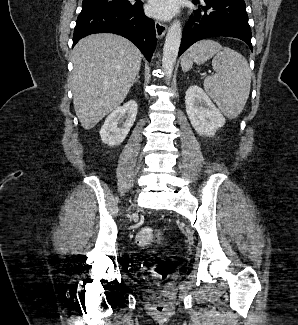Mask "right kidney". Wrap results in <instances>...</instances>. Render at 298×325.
I'll return each instance as SVG.
<instances>
[{
	"label": "right kidney",
	"mask_w": 298,
	"mask_h": 325,
	"mask_svg": "<svg viewBox=\"0 0 298 325\" xmlns=\"http://www.w3.org/2000/svg\"><path fill=\"white\" fill-rule=\"evenodd\" d=\"M138 104L136 100H128L123 106H118L108 114L100 128V138L105 144H121L126 138L137 114ZM126 118V120H121Z\"/></svg>",
	"instance_id": "obj_1"
}]
</instances>
